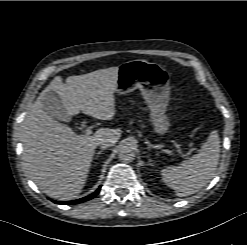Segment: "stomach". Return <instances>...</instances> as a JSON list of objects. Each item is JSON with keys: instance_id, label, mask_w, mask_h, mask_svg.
<instances>
[{"instance_id": "stomach-1", "label": "stomach", "mask_w": 247, "mask_h": 245, "mask_svg": "<svg viewBox=\"0 0 247 245\" xmlns=\"http://www.w3.org/2000/svg\"><path fill=\"white\" fill-rule=\"evenodd\" d=\"M139 89L150 110L155 133L165 134L170 127L166 109L170 98V79L165 68L146 60H132L119 66L116 91L127 94Z\"/></svg>"}]
</instances>
